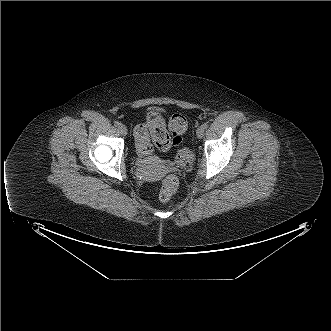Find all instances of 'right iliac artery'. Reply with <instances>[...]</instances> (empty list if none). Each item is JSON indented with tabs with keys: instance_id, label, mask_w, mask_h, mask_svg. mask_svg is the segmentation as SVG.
Wrapping results in <instances>:
<instances>
[{
	"instance_id": "82829eb1",
	"label": "right iliac artery",
	"mask_w": 331,
	"mask_h": 331,
	"mask_svg": "<svg viewBox=\"0 0 331 331\" xmlns=\"http://www.w3.org/2000/svg\"><path fill=\"white\" fill-rule=\"evenodd\" d=\"M120 123L118 121H114V126L118 127Z\"/></svg>"
}]
</instances>
